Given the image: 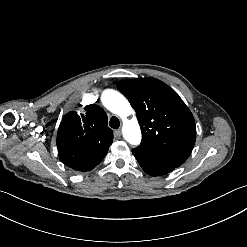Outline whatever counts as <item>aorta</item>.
Segmentation results:
<instances>
[{
    "mask_svg": "<svg viewBox=\"0 0 247 247\" xmlns=\"http://www.w3.org/2000/svg\"><path fill=\"white\" fill-rule=\"evenodd\" d=\"M103 105L112 113L123 120V137L132 145H139L141 142V130L135 117L127 119L133 113L128 100L118 91L107 89L101 95Z\"/></svg>",
    "mask_w": 247,
    "mask_h": 247,
    "instance_id": "aorta-1",
    "label": "aorta"
}]
</instances>
